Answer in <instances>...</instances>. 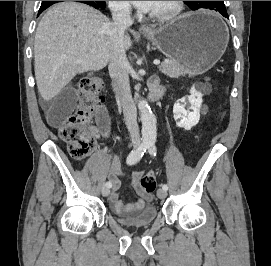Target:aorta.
I'll return each instance as SVG.
<instances>
[{"instance_id": "obj_1", "label": "aorta", "mask_w": 271, "mask_h": 266, "mask_svg": "<svg viewBox=\"0 0 271 266\" xmlns=\"http://www.w3.org/2000/svg\"><path fill=\"white\" fill-rule=\"evenodd\" d=\"M138 108L142 122V137L144 140H154L156 138V118L148 102L144 99L140 100Z\"/></svg>"}]
</instances>
